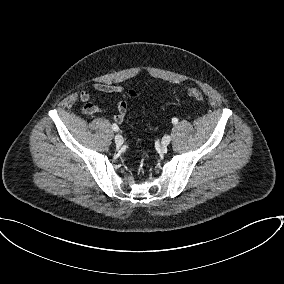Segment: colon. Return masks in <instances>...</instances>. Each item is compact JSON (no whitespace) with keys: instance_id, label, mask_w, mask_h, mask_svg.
<instances>
[{"instance_id":"obj_1","label":"colon","mask_w":284,"mask_h":284,"mask_svg":"<svg viewBox=\"0 0 284 284\" xmlns=\"http://www.w3.org/2000/svg\"><path fill=\"white\" fill-rule=\"evenodd\" d=\"M186 92L189 96L193 97L197 101L202 102L204 100L202 93L200 91H198L197 89L189 88V89L186 90ZM127 94L130 97H134L136 95V93L133 90L128 91Z\"/></svg>"}]
</instances>
